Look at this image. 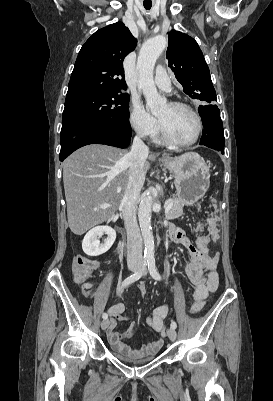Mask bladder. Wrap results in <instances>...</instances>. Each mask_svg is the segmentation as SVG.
<instances>
[{
  "label": "bladder",
  "mask_w": 273,
  "mask_h": 401,
  "mask_svg": "<svg viewBox=\"0 0 273 401\" xmlns=\"http://www.w3.org/2000/svg\"><path fill=\"white\" fill-rule=\"evenodd\" d=\"M112 354L120 362L126 363V364H145V363H149V362L153 361L156 358L155 355H152V356H149V357L141 359V360H131V359H128V358L116 353V352H113Z\"/></svg>",
  "instance_id": "obj_1"
}]
</instances>
